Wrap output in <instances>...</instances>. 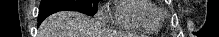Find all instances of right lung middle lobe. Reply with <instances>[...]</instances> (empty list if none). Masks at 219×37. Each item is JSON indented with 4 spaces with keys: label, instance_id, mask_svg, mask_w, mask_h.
<instances>
[{
    "label": "right lung middle lobe",
    "instance_id": "right-lung-middle-lobe-1",
    "mask_svg": "<svg viewBox=\"0 0 219 37\" xmlns=\"http://www.w3.org/2000/svg\"><path fill=\"white\" fill-rule=\"evenodd\" d=\"M97 0H42L39 11L65 6L75 11L93 16L97 12Z\"/></svg>",
    "mask_w": 219,
    "mask_h": 37
}]
</instances>
